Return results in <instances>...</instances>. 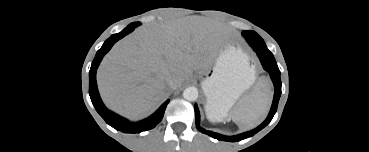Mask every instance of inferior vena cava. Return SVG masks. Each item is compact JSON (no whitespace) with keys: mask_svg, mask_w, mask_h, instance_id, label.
<instances>
[{"mask_svg":"<svg viewBox=\"0 0 369 152\" xmlns=\"http://www.w3.org/2000/svg\"><path fill=\"white\" fill-rule=\"evenodd\" d=\"M173 83H174V81L172 80V78H171V77H168V78H167V84H168L170 87H172V86H173Z\"/></svg>","mask_w":369,"mask_h":152,"instance_id":"obj_1","label":"inferior vena cava"}]
</instances>
